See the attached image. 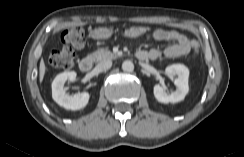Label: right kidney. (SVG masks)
<instances>
[{
    "mask_svg": "<svg viewBox=\"0 0 244 157\" xmlns=\"http://www.w3.org/2000/svg\"><path fill=\"white\" fill-rule=\"evenodd\" d=\"M76 72H63L58 74L52 82L53 100L67 110H80L86 107L89 102L90 95L88 92H82L75 95H69L64 84L66 81L73 82L76 79Z\"/></svg>",
    "mask_w": 244,
    "mask_h": 157,
    "instance_id": "1",
    "label": "right kidney"
}]
</instances>
